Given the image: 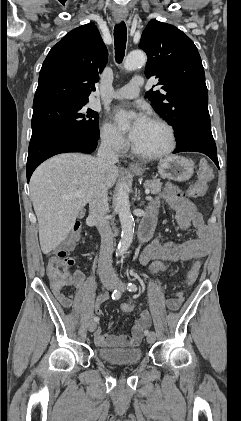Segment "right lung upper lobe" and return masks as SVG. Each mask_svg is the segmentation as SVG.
Wrapping results in <instances>:
<instances>
[{
    "label": "right lung upper lobe",
    "instance_id": "obj_1",
    "mask_svg": "<svg viewBox=\"0 0 241 421\" xmlns=\"http://www.w3.org/2000/svg\"><path fill=\"white\" fill-rule=\"evenodd\" d=\"M107 58V48L94 23L70 31L43 62L33 107L53 102H88Z\"/></svg>",
    "mask_w": 241,
    "mask_h": 421
}]
</instances>
